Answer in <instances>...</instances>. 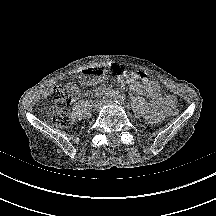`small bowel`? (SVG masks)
Wrapping results in <instances>:
<instances>
[{"label":"small bowel","instance_id":"1","mask_svg":"<svg viewBox=\"0 0 216 216\" xmlns=\"http://www.w3.org/2000/svg\"><path fill=\"white\" fill-rule=\"evenodd\" d=\"M117 80L118 82L126 83L134 92L152 100L151 110L148 115L150 122L160 121L167 110L176 102L174 96L163 95L158 83L143 72H128L124 76H119ZM80 94V90L77 87L75 98L79 97Z\"/></svg>","mask_w":216,"mask_h":216}]
</instances>
